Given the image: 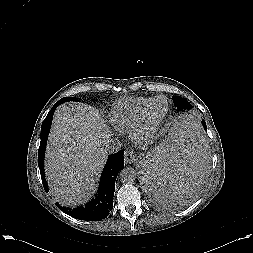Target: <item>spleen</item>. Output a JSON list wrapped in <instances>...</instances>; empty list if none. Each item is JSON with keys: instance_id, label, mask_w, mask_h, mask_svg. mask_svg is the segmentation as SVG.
I'll list each match as a JSON object with an SVG mask.
<instances>
[{"instance_id": "spleen-1", "label": "spleen", "mask_w": 253, "mask_h": 253, "mask_svg": "<svg viewBox=\"0 0 253 253\" xmlns=\"http://www.w3.org/2000/svg\"><path fill=\"white\" fill-rule=\"evenodd\" d=\"M199 128L193 119L176 121L145 162L143 187L164 204L185 202L205 182L208 154Z\"/></svg>"}]
</instances>
